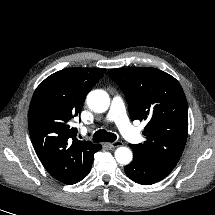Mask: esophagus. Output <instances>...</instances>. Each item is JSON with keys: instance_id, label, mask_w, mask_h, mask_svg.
<instances>
[{"instance_id": "obj_1", "label": "esophagus", "mask_w": 215, "mask_h": 215, "mask_svg": "<svg viewBox=\"0 0 215 215\" xmlns=\"http://www.w3.org/2000/svg\"><path fill=\"white\" fill-rule=\"evenodd\" d=\"M122 142L121 141H115L113 143H107L106 145L109 147V148H117V147H120L122 146Z\"/></svg>"}]
</instances>
